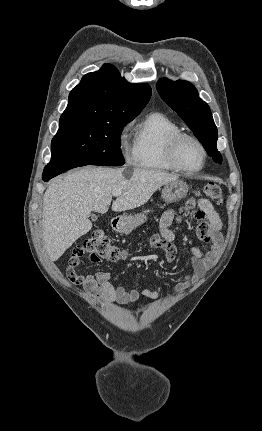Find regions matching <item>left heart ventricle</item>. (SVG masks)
Masks as SVG:
<instances>
[{
	"label": "left heart ventricle",
	"mask_w": 262,
	"mask_h": 431,
	"mask_svg": "<svg viewBox=\"0 0 262 431\" xmlns=\"http://www.w3.org/2000/svg\"><path fill=\"white\" fill-rule=\"evenodd\" d=\"M179 160L187 169H196L202 164V153L191 141H185L179 148Z\"/></svg>",
	"instance_id": "1"
}]
</instances>
